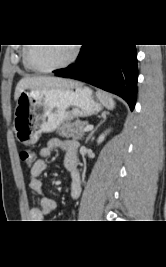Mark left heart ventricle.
<instances>
[{
  "label": "left heart ventricle",
  "mask_w": 166,
  "mask_h": 267,
  "mask_svg": "<svg viewBox=\"0 0 166 267\" xmlns=\"http://www.w3.org/2000/svg\"><path fill=\"white\" fill-rule=\"evenodd\" d=\"M72 52L68 45H36L31 49L33 63L42 68L53 67L66 61Z\"/></svg>",
  "instance_id": "obj_1"
}]
</instances>
